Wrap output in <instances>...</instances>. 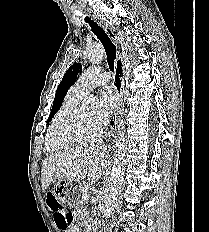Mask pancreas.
I'll use <instances>...</instances> for the list:
<instances>
[{
  "label": "pancreas",
  "mask_w": 209,
  "mask_h": 232,
  "mask_svg": "<svg viewBox=\"0 0 209 232\" xmlns=\"http://www.w3.org/2000/svg\"><path fill=\"white\" fill-rule=\"evenodd\" d=\"M90 188V184L89 183H83L82 185H80V190L83 193H88V190ZM82 203V201H81Z\"/></svg>",
  "instance_id": "obj_1"
}]
</instances>
